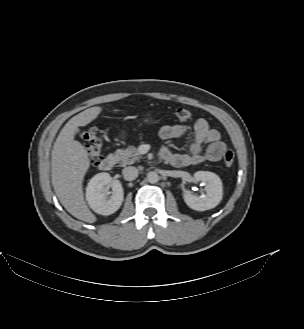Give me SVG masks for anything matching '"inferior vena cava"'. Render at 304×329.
<instances>
[{
	"label": "inferior vena cava",
	"instance_id": "1",
	"mask_svg": "<svg viewBox=\"0 0 304 329\" xmlns=\"http://www.w3.org/2000/svg\"><path fill=\"white\" fill-rule=\"evenodd\" d=\"M124 179L128 181H132L138 176V169L134 166L125 167L122 171Z\"/></svg>",
	"mask_w": 304,
	"mask_h": 329
}]
</instances>
